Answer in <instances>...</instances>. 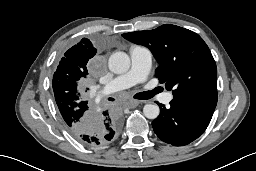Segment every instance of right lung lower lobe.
<instances>
[{
    "label": "right lung lower lobe",
    "mask_w": 256,
    "mask_h": 171,
    "mask_svg": "<svg viewBox=\"0 0 256 171\" xmlns=\"http://www.w3.org/2000/svg\"><path fill=\"white\" fill-rule=\"evenodd\" d=\"M86 110L88 112L86 122L71 133L80 142L90 146L105 145L111 142L119 132L122 123L117 109L89 105Z\"/></svg>",
    "instance_id": "obj_1"
}]
</instances>
